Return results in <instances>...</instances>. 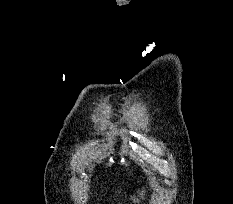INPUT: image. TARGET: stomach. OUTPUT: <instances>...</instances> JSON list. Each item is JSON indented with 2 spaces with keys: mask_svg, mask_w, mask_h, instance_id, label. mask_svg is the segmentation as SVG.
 <instances>
[{
  "mask_svg": "<svg viewBox=\"0 0 233 204\" xmlns=\"http://www.w3.org/2000/svg\"><path fill=\"white\" fill-rule=\"evenodd\" d=\"M145 191L144 190H137L130 196V201L132 204H140L142 200H144Z\"/></svg>",
  "mask_w": 233,
  "mask_h": 204,
  "instance_id": "0dacf381",
  "label": "stomach"
}]
</instances>
